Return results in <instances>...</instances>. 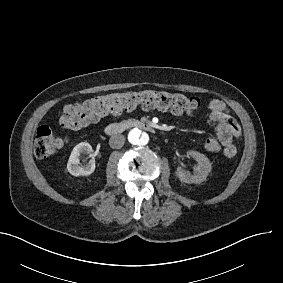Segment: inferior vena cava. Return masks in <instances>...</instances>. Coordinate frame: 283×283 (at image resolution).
I'll list each match as a JSON object with an SVG mask.
<instances>
[{"instance_id": "obj_1", "label": "inferior vena cava", "mask_w": 283, "mask_h": 283, "mask_svg": "<svg viewBox=\"0 0 283 283\" xmlns=\"http://www.w3.org/2000/svg\"><path fill=\"white\" fill-rule=\"evenodd\" d=\"M125 143V137L121 134H115L110 137L109 139V145L113 149H120L123 147Z\"/></svg>"}]
</instances>
